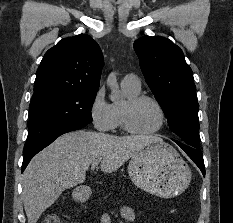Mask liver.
<instances>
[{
	"instance_id": "obj_1",
	"label": "liver",
	"mask_w": 233,
	"mask_h": 223,
	"mask_svg": "<svg viewBox=\"0 0 233 223\" xmlns=\"http://www.w3.org/2000/svg\"><path fill=\"white\" fill-rule=\"evenodd\" d=\"M152 141L163 139L157 135L119 137L83 129L57 137L32 157L22 173V199L28 223H37L65 189L84 183L93 161H100L104 173H112Z\"/></svg>"
}]
</instances>
